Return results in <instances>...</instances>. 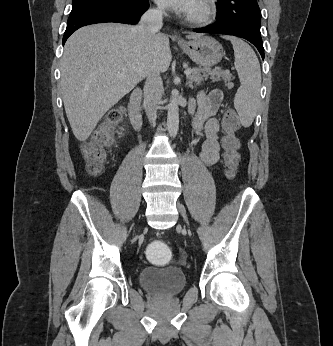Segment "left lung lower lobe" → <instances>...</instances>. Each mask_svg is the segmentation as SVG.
<instances>
[{"mask_svg":"<svg viewBox=\"0 0 333 346\" xmlns=\"http://www.w3.org/2000/svg\"><path fill=\"white\" fill-rule=\"evenodd\" d=\"M194 31L200 33L226 34L244 38L258 49L262 59H264L261 33L245 24L238 22H217L210 27L195 29Z\"/></svg>","mask_w":333,"mask_h":346,"instance_id":"1","label":"left lung lower lobe"}]
</instances>
